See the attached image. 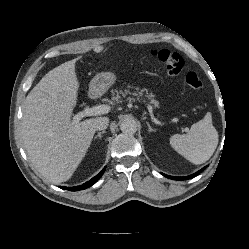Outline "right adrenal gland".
Here are the masks:
<instances>
[{"mask_svg":"<svg viewBox=\"0 0 249 249\" xmlns=\"http://www.w3.org/2000/svg\"><path fill=\"white\" fill-rule=\"evenodd\" d=\"M106 131L105 130H103V131H101V132H99L95 137H94V139H97V138H102V134H104Z\"/></svg>","mask_w":249,"mask_h":249,"instance_id":"1","label":"right adrenal gland"}]
</instances>
